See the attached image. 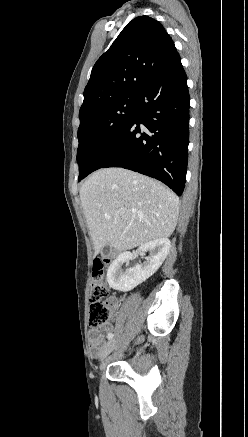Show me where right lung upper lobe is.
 Segmentation results:
<instances>
[{
  "label": "right lung upper lobe",
  "instance_id": "1",
  "mask_svg": "<svg viewBox=\"0 0 248 437\" xmlns=\"http://www.w3.org/2000/svg\"><path fill=\"white\" fill-rule=\"evenodd\" d=\"M177 55L173 40L157 20L139 16L130 21L95 63L80 121L113 101L136 96Z\"/></svg>",
  "mask_w": 248,
  "mask_h": 437
}]
</instances>
